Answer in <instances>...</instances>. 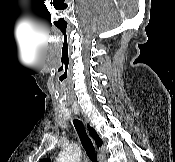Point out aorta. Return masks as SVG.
I'll use <instances>...</instances> for the list:
<instances>
[{"label":"aorta","mask_w":175,"mask_h":162,"mask_svg":"<svg viewBox=\"0 0 175 162\" xmlns=\"http://www.w3.org/2000/svg\"><path fill=\"white\" fill-rule=\"evenodd\" d=\"M81 161V149L71 144L68 148L64 149L58 156L57 162H80Z\"/></svg>","instance_id":"1"}]
</instances>
